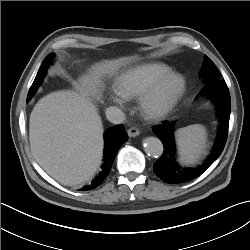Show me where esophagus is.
<instances>
[{"mask_svg": "<svg viewBox=\"0 0 250 250\" xmlns=\"http://www.w3.org/2000/svg\"><path fill=\"white\" fill-rule=\"evenodd\" d=\"M127 134L129 137H136L140 134V130L136 127H131L127 130Z\"/></svg>", "mask_w": 250, "mask_h": 250, "instance_id": "34e87169", "label": "esophagus"}]
</instances>
